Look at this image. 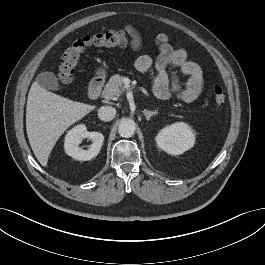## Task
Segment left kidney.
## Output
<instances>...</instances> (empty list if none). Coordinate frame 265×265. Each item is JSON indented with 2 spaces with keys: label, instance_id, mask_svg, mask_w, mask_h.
I'll return each mask as SVG.
<instances>
[{
  "label": "left kidney",
  "instance_id": "1",
  "mask_svg": "<svg viewBox=\"0 0 265 265\" xmlns=\"http://www.w3.org/2000/svg\"><path fill=\"white\" fill-rule=\"evenodd\" d=\"M156 143L168 154L180 155L194 146L195 135L189 125L176 122L158 133Z\"/></svg>",
  "mask_w": 265,
  "mask_h": 265
}]
</instances>
